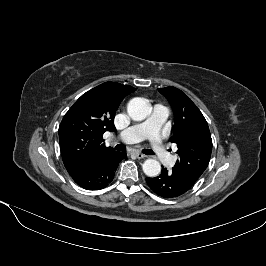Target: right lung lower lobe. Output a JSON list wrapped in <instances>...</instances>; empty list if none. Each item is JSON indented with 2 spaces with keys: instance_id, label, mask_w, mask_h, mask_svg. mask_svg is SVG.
Listing matches in <instances>:
<instances>
[{
  "instance_id": "obj_1",
  "label": "right lung lower lobe",
  "mask_w": 266,
  "mask_h": 266,
  "mask_svg": "<svg viewBox=\"0 0 266 266\" xmlns=\"http://www.w3.org/2000/svg\"><path fill=\"white\" fill-rule=\"evenodd\" d=\"M126 157V153L114 151L71 177L86 190L102 189L113 180L119 162Z\"/></svg>"
}]
</instances>
